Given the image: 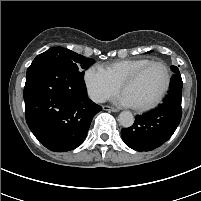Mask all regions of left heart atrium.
<instances>
[{
    "label": "left heart atrium",
    "instance_id": "1",
    "mask_svg": "<svg viewBox=\"0 0 201 201\" xmlns=\"http://www.w3.org/2000/svg\"><path fill=\"white\" fill-rule=\"evenodd\" d=\"M117 102L124 106H133L129 98L124 93L118 97Z\"/></svg>",
    "mask_w": 201,
    "mask_h": 201
}]
</instances>
